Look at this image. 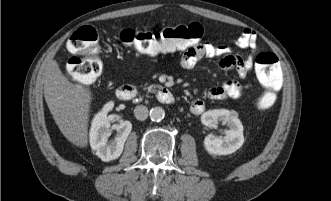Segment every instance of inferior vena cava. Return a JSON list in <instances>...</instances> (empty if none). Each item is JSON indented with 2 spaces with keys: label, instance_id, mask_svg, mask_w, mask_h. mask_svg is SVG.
<instances>
[{
  "label": "inferior vena cava",
  "instance_id": "1",
  "mask_svg": "<svg viewBox=\"0 0 331 201\" xmlns=\"http://www.w3.org/2000/svg\"><path fill=\"white\" fill-rule=\"evenodd\" d=\"M148 112L149 111H148L147 107L143 106V105L136 106L134 109V115H135L136 119L141 120V121L147 119Z\"/></svg>",
  "mask_w": 331,
  "mask_h": 201
}]
</instances>
